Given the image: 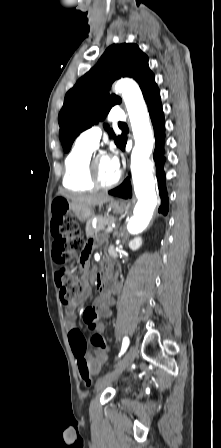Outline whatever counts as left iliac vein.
Here are the masks:
<instances>
[{"label":"left iliac vein","mask_w":221,"mask_h":448,"mask_svg":"<svg viewBox=\"0 0 221 448\" xmlns=\"http://www.w3.org/2000/svg\"><path fill=\"white\" fill-rule=\"evenodd\" d=\"M137 355V348L132 346L129 352L124 356L121 362L117 365V367L105 377L101 378L95 385V388L98 390L104 389L107 385H109L112 381H114L125 369L130 367L131 363L134 361Z\"/></svg>","instance_id":"1"}]
</instances>
